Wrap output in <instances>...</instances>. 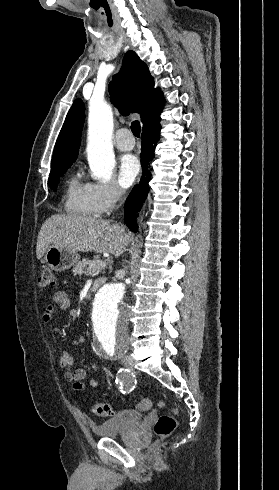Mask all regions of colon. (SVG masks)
<instances>
[{
	"label": "colon",
	"mask_w": 279,
	"mask_h": 490,
	"mask_svg": "<svg viewBox=\"0 0 279 490\" xmlns=\"http://www.w3.org/2000/svg\"><path fill=\"white\" fill-rule=\"evenodd\" d=\"M55 274L49 268H45L40 275V285L43 287H53L55 285ZM163 405V403H161ZM150 398H141L138 400L136 408L138 411H147L150 409ZM92 413L101 417L111 416L113 413L112 405L105 402H96L92 405ZM176 409H172L170 413H163L157 419L154 425V432L160 436L161 441H166L176 429L175 415Z\"/></svg>",
	"instance_id": "obj_1"
}]
</instances>
